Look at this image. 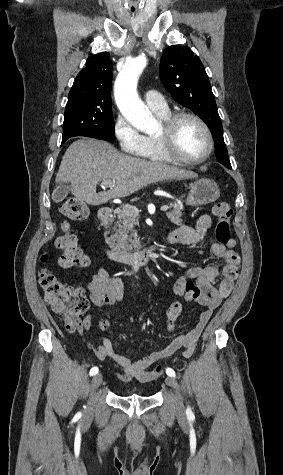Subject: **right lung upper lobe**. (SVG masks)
Returning a JSON list of instances; mask_svg holds the SVG:
<instances>
[{"instance_id": "obj_1", "label": "right lung upper lobe", "mask_w": 283, "mask_h": 475, "mask_svg": "<svg viewBox=\"0 0 283 475\" xmlns=\"http://www.w3.org/2000/svg\"><path fill=\"white\" fill-rule=\"evenodd\" d=\"M112 62L109 53L88 57L86 66L77 75L68 99L110 102Z\"/></svg>"}]
</instances>
